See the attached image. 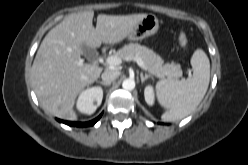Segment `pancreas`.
I'll use <instances>...</instances> for the list:
<instances>
[{"instance_id": "pancreas-1", "label": "pancreas", "mask_w": 248, "mask_h": 165, "mask_svg": "<svg viewBox=\"0 0 248 165\" xmlns=\"http://www.w3.org/2000/svg\"><path fill=\"white\" fill-rule=\"evenodd\" d=\"M116 56L127 60L132 57H140L150 74L158 78L178 79L182 76L181 65L178 63H165L153 50L138 43L124 45L116 53Z\"/></svg>"}]
</instances>
